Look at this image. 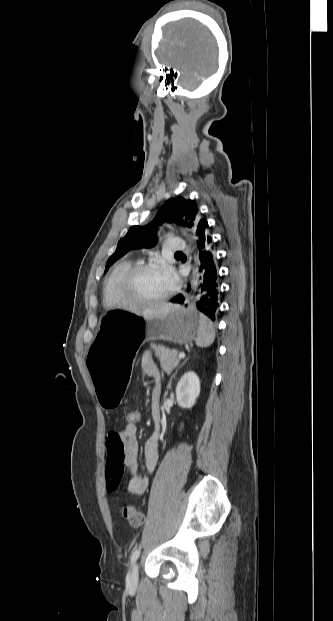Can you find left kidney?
I'll use <instances>...</instances> for the list:
<instances>
[{
    "label": "left kidney",
    "mask_w": 333,
    "mask_h": 621,
    "mask_svg": "<svg viewBox=\"0 0 333 621\" xmlns=\"http://www.w3.org/2000/svg\"><path fill=\"white\" fill-rule=\"evenodd\" d=\"M200 394V381L194 372L183 375L176 387V398L182 408H192Z\"/></svg>",
    "instance_id": "1"
}]
</instances>
